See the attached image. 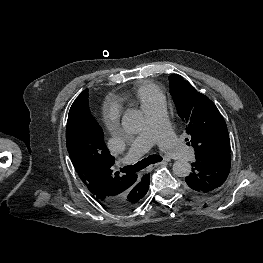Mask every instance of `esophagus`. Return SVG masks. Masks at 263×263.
Instances as JSON below:
<instances>
[{
  "mask_svg": "<svg viewBox=\"0 0 263 263\" xmlns=\"http://www.w3.org/2000/svg\"><path fill=\"white\" fill-rule=\"evenodd\" d=\"M166 162H160V163H155V164H151L147 167V171H152L154 168L158 167V166H164L166 165Z\"/></svg>",
  "mask_w": 263,
  "mask_h": 263,
  "instance_id": "obj_1",
  "label": "esophagus"
}]
</instances>
